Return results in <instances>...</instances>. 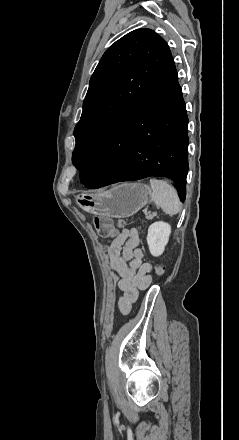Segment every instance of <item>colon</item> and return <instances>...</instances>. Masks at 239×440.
<instances>
[{"instance_id": "5ec220e1", "label": "colon", "mask_w": 239, "mask_h": 440, "mask_svg": "<svg viewBox=\"0 0 239 440\" xmlns=\"http://www.w3.org/2000/svg\"><path fill=\"white\" fill-rule=\"evenodd\" d=\"M117 224L119 227L123 226L124 222L121 219L114 220L110 217H97L94 219V226L96 231L103 238H111L115 232V225ZM156 275H162L164 272V267L161 265H157L154 269Z\"/></svg>"}]
</instances>
